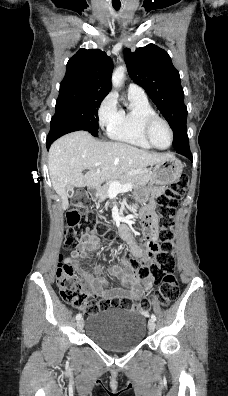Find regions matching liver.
Listing matches in <instances>:
<instances>
[{
	"mask_svg": "<svg viewBox=\"0 0 228 396\" xmlns=\"http://www.w3.org/2000/svg\"><path fill=\"white\" fill-rule=\"evenodd\" d=\"M170 156L122 142L100 141L88 132L76 131L52 144L48 168L53 188L61 198L63 210H66L70 189L85 186L99 189L105 181L117 179L133 170H142ZM85 169L89 171L84 175Z\"/></svg>",
	"mask_w": 228,
	"mask_h": 396,
	"instance_id": "liver-1",
	"label": "liver"
}]
</instances>
